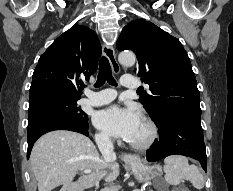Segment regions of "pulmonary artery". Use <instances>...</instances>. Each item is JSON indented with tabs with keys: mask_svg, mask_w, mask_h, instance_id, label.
I'll return each instance as SVG.
<instances>
[{
	"mask_svg": "<svg viewBox=\"0 0 233 191\" xmlns=\"http://www.w3.org/2000/svg\"><path fill=\"white\" fill-rule=\"evenodd\" d=\"M121 85L127 89L137 88L140 83L137 78L131 75H124L121 78ZM117 93L114 89L107 88L100 91H85V98L81 99V103L90 106H101L110 103L116 97Z\"/></svg>",
	"mask_w": 233,
	"mask_h": 191,
	"instance_id": "e3ab8cb5",
	"label": "pulmonary artery"
}]
</instances>
